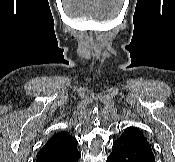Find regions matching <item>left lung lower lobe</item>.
<instances>
[{"label":"left lung lower lobe","instance_id":"0a47b994","mask_svg":"<svg viewBox=\"0 0 175 162\" xmlns=\"http://www.w3.org/2000/svg\"><path fill=\"white\" fill-rule=\"evenodd\" d=\"M107 162H155V158L146 139L123 133L113 143Z\"/></svg>","mask_w":175,"mask_h":162}]
</instances>
